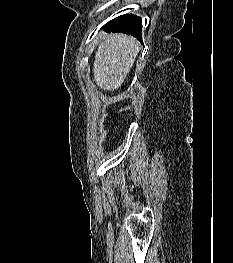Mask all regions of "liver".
Wrapping results in <instances>:
<instances>
[{
	"label": "liver",
	"mask_w": 233,
	"mask_h": 263,
	"mask_svg": "<svg viewBox=\"0 0 233 263\" xmlns=\"http://www.w3.org/2000/svg\"><path fill=\"white\" fill-rule=\"evenodd\" d=\"M139 51V43L133 37L121 33H101L93 63V76L98 87L106 91L120 88Z\"/></svg>",
	"instance_id": "1"
}]
</instances>
